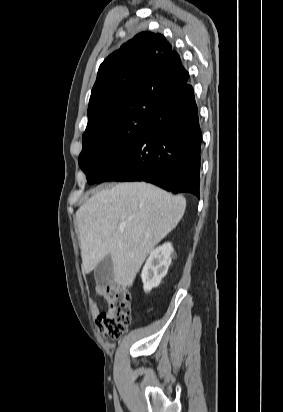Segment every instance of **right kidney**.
Returning a JSON list of instances; mask_svg holds the SVG:
<instances>
[{
  "label": "right kidney",
  "mask_w": 283,
  "mask_h": 412,
  "mask_svg": "<svg viewBox=\"0 0 283 412\" xmlns=\"http://www.w3.org/2000/svg\"><path fill=\"white\" fill-rule=\"evenodd\" d=\"M173 252V246L169 242L151 251L141 273L143 288L146 293L157 287L162 278L166 276Z\"/></svg>",
  "instance_id": "ca27d5eb"
}]
</instances>
